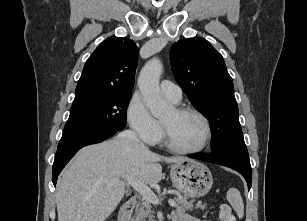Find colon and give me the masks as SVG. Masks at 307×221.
Here are the masks:
<instances>
[{"instance_id":"1","label":"colon","mask_w":307,"mask_h":221,"mask_svg":"<svg viewBox=\"0 0 307 221\" xmlns=\"http://www.w3.org/2000/svg\"><path fill=\"white\" fill-rule=\"evenodd\" d=\"M219 220L220 221H236L235 215L229 205L221 204L219 206Z\"/></svg>"}]
</instances>
